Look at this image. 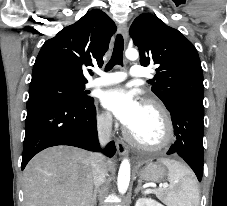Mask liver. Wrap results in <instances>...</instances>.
I'll return each instance as SVG.
<instances>
[{"label":"liver","mask_w":227,"mask_h":206,"mask_svg":"<svg viewBox=\"0 0 227 206\" xmlns=\"http://www.w3.org/2000/svg\"><path fill=\"white\" fill-rule=\"evenodd\" d=\"M93 158V153L68 146L38 153L24 170V206H92Z\"/></svg>","instance_id":"6515ba94"}]
</instances>
